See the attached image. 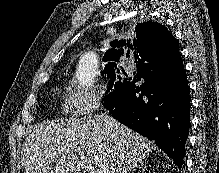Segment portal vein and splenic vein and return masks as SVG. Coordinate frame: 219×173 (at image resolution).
<instances>
[{
    "label": "portal vein and splenic vein",
    "instance_id": "obj_1",
    "mask_svg": "<svg viewBox=\"0 0 219 173\" xmlns=\"http://www.w3.org/2000/svg\"><path fill=\"white\" fill-rule=\"evenodd\" d=\"M89 173H95V172H94L93 170H90V169H89Z\"/></svg>",
    "mask_w": 219,
    "mask_h": 173
}]
</instances>
